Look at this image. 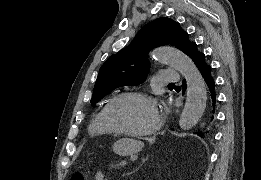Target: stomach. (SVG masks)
I'll return each mask as SVG.
<instances>
[{
	"mask_svg": "<svg viewBox=\"0 0 261 180\" xmlns=\"http://www.w3.org/2000/svg\"><path fill=\"white\" fill-rule=\"evenodd\" d=\"M143 143L130 138H122L113 144V151L120 156H130L142 150Z\"/></svg>",
	"mask_w": 261,
	"mask_h": 180,
	"instance_id": "stomach-1",
	"label": "stomach"
}]
</instances>
